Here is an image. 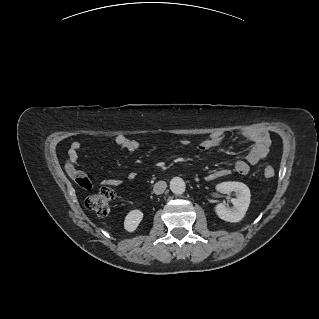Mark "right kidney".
Listing matches in <instances>:
<instances>
[{"mask_svg":"<svg viewBox=\"0 0 319 319\" xmlns=\"http://www.w3.org/2000/svg\"><path fill=\"white\" fill-rule=\"evenodd\" d=\"M143 213L138 210H131L125 217L124 228L128 232H133L136 230L140 222L142 221Z\"/></svg>","mask_w":319,"mask_h":319,"instance_id":"right-kidney-1","label":"right kidney"}]
</instances>
